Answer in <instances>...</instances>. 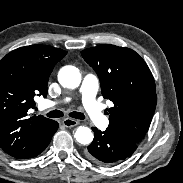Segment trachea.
<instances>
[{
    "mask_svg": "<svg viewBox=\"0 0 183 183\" xmlns=\"http://www.w3.org/2000/svg\"><path fill=\"white\" fill-rule=\"evenodd\" d=\"M47 116L50 118H61L64 116V114L60 110H53L48 112ZM69 116L75 119H85V115L83 113L76 112V111L69 113Z\"/></svg>",
    "mask_w": 183,
    "mask_h": 183,
    "instance_id": "3493384b",
    "label": "trachea"
}]
</instances>
